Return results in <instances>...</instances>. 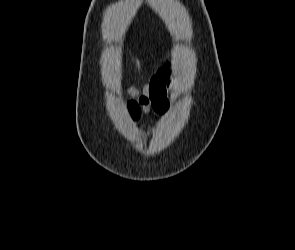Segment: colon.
Masks as SVG:
<instances>
[{
    "mask_svg": "<svg viewBox=\"0 0 295 250\" xmlns=\"http://www.w3.org/2000/svg\"><path fill=\"white\" fill-rule=\"evenodd\" d=\"M128 109L134 118L139 117L140 110H139V104L137 102L135 101L129 102Z\"/></svg>",
    "mask_w": 295,
    "mask_h": 250,
    "instance_id": "1",
    "label": "colon"
}]
</instances>
